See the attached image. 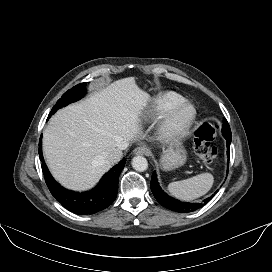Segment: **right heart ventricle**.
<instances>
[{
	"mask_svg": "<svg viewBox=\"0 0 272 272\" xmlns=\"http://www.w3.org/2000/svg\"><path fill=\"white\" fill-rule=\"evenodd\" d=\"M183 100L185 98L174 91L161 93L151 100L146 114L151 118L163 117L175 104Z\"/></svg>",
	"mask_w": 272,
	"mask_h": 272,
	"instance_id": "1",
	"label": "right heart ventricle"
}]
</instances>
